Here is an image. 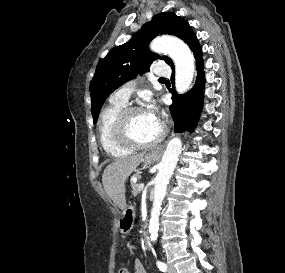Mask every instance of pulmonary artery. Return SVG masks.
I'll use <instances>...</instances> for the list:
<instances>
[{
  "instance_id": "pulmonary-artery-1",
  "label": "pulmonary artery",
  "mask_w": 285,
  "mask_h": 273,
  "mask_svg": "<svg viewBox=\"0 0 285 273\" xmlns=\"http://www.w3.org/2000/svg\"><path fill=\"white\" fill-rule=\"evenodd\" d=\"M154 74L160 78H165L171 75V69L168 65L163 62H159L154 69ZM133 91L132 85H126L118 89L111 97L112 101H119L126 103Z\"/></svg>"
}]
</instances>
